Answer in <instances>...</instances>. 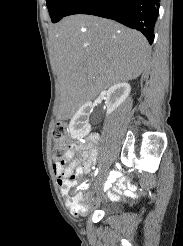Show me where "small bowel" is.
<instances>
[{
    "mask_svg": "<svg viewBox=\"0 0 183 246\" xmlns=\"http://www.w3.org/2000/svg\"><path fill=\"white\" fill-rule=\"evenodd\" d=\"M99 137L97 135H91L82 146L76 144H70L66 153V160L68 164L64 166L59 162H55L53 165L54 173L57 177V183L63 196L67 198V205L75 215L84 213L78 212L72 208L71 202L76 195H83V191L89 188V182H84L78 187V193L74 196H70V191L73 183L69 178L80 176L84 173L91 171V165L97 156V144ZM80 150L83 155L84 163L81 165L80 161L75 159V153ZM111 178L105 180V184L102 185L104 192L111 200H117L123 192H126V198H135V193L132 190L125 191V189H139V184H125L124 179H130V174H123L122 169H111ZM123 177V178H122ZM117 179V180H116ZM92 199V198H91Z\"/></svg>",
    "mask_w": 183,
    "mask_h": 246,
    "instance_id": "1",
    "label": "small bowel"
}]
</instances>
